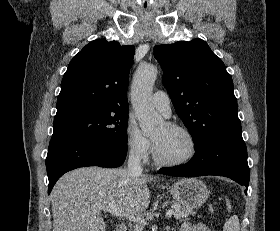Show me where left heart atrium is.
I'll return each instance as SVG.
<instances>
[{
  "label": "left heart atrium",
  "instance_id": "obj_1",
  "mask_svg": "<svg viewBox=\"0 0 280 231\" xmlns=\"http://www.w3.org/2000/svg\"><path fill=\"white\" fill-rule=\"evenodd\" d=\"M154 143H155V147L157 149L161 143V140L160 139L154 140Z\"/></svg>",
  "mask_w": 280,
  "mask_h": 231
}]
</instances>
